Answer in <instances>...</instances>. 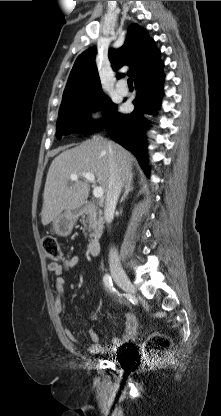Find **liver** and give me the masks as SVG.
<instances>
[{"mask_svg":"<svg viewBox=\"0 0 221 416\" xmlns=\"http://www.w3.org/2000/svg\"><path fill=\"white\" fill-rule=\"evenodd\" d=\"M133 156L121 145L94 136L79 146L64 150L52 161L47 173L43 193L41 222L51 223L64 210H74L84 204L89 196L88 182L80 180L83 172H90L105 193L108 192L111 165L114 164L122 185L132 181ZM79 175L77 180L70 175Z\"/></svg>","mask_w":221,"mask_h":416,"instance_id":"liver-1","label":"liver"}]
</instances>
